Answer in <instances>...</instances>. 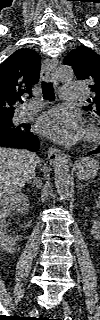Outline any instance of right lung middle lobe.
<instances>
[{
	"label": "right lung middle lobe",
	"mask_w": 100,
	"mask_h": 320,
	"mask_svg": "<svg viewBox=\"0 0 100 320\" xmlns=\"http://www.w3.org/2000/svg\"><path fill=\"white\" fill-rule=\"evenodd\" d=\"M29 129L28 124H21L19 126H14L12 123V117L6 119H0V133L9 132V133H22Z\"/></svg>",
	"instance_id": "1"
}]
</instances>
